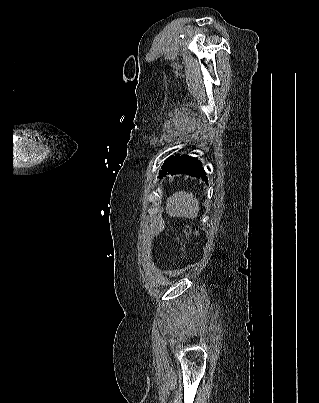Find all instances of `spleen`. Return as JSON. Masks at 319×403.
Returning a JSON list of instances; mask_svg holds the SVG:
<instances>
[{
	"label": "spleen",
	"mask_w": 319,
	"mask_h": 403,
	"mask_svg": "<svg viewBox=\"0 0 319 403\" xmlns=\"http://www.w3.org/2000/svg\"><path fill=\"white\" fill-rule=\"evenodd\" d=\"M200 210L199 200L191 192H175L167 200L166 212L172 217L196 218Z\"/></svg>",
	"instance_id": "1"
}]
</instances>
